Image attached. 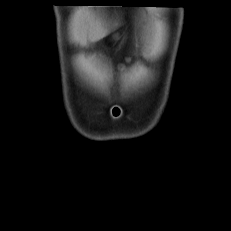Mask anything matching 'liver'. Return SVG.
Segmentation results:
<instances>
[{
	"mask_svg": "<svg viewBox=\"0 0 231 231\" xmlns=\"http://www.w3.org/2000/svg\"><path fill=\"white\" fill-rule=\"evenodd\" d=\"M73 38L76 42L84 45L87 37L95 42L105 36V31L97 23H88L87 13L81 8L76 11L72 24Z\"/></svg>",
	"mask_w": 231,
	"mask_h": 231,
	"instance_id": "6515ba94",
	"label": "liver"
}]
</instances>
